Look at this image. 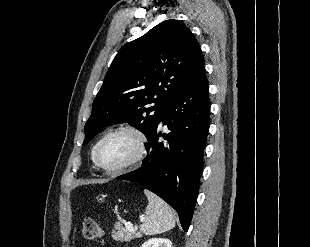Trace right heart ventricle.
Wrapping results in <instances>:
<instances>
[{"label": "right heart ventricle", "mask_w": 310, "mask_h": 247, "mask_svg": "<svg viewBox=\"0 0 310 247\" xmlns=\"http://www.w3.org/2000/svg\"><path fill=\"white\" fill-rule=\"evenodd\" d=\"M99 142V141H98ZM98 142H96V144L93 146V148H92V151H91V156H92V159H93V152H94V150H95V147H96V145H97V143Z\"/></svg>", "instance_id": "obj_1"}]
</instances>
